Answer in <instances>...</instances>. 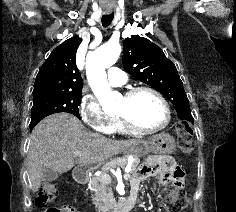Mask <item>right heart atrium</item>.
Wrapping results in <instances>:
<instances>
[{"label": "right heart atrium", "instance_id": "d8ad5b80", "mask_svg": "<svg viewBox=\"0 0 236 212\" xmlns=\"http://www.w3.org/2000/svg\"><path fill=\"white\" fill-rule=\"evenodd\" d=\"M79 113L82 120L93 130L108 133L112 117L101 108L98 100L90 94L82 97L79 104Z\"/></svg>", "mask_w": 236, "mask_h": 212}]
</instances>
